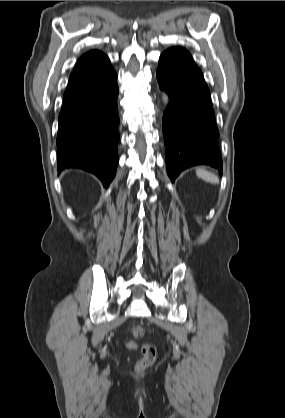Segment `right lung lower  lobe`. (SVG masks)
Masks as SVG:
<instances>
[{"mask_svg": "<svg viewBox=\"0 0 285 418\" xmlns=\"http://www.w3.org/2000/svg\"><path fill=\"white\" fill-rule=\"evenodd\" d=\"M117 74L114 69L94 83L64 96L59 114L58 171L80 168L108 187L119 163Z\"/></svg>", "mask_w": 285, "mask_h": 418, "instance_id": "obj_1", "label": "right lung lower lobe"}]
</instances>
